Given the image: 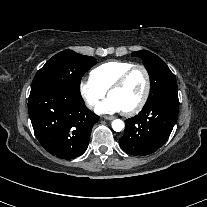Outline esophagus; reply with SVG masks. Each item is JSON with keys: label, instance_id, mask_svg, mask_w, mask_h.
Returning <instances> with one entry per match:
<instances>
[{"label": "esophagus", "instance_id": "obj_1", "mask_svg": "<svg viewBox=\"0 0 207 207\" xmlns=\"http://www.w3.org/2000/svg\"><path fill=\"white\" fill-rule=\"evenodd\" d=\"M103 119H105V120H113L114 117L113 116H103Z\"/></svg>", "mask_w": 207, "mask_h": 207}]
</instances>
